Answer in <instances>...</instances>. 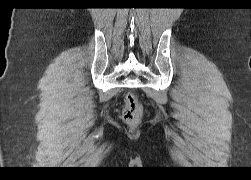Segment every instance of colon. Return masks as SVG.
Segmentation results:
<instances>
[{
    "mask_svg": "<svg viewBox=\"0 0 251 180\" xmlns=\"http://www.w3.org/2000/svg\"><path fill=\"white\" fill-rule=\"evenodd\" d=\"M123 120L132 126L137 125L142 117V105L139 99L132 93L125 97V103L122 111Z\"/></svg>",
    "mask_w": 251,
    "mask_h": 180,
    "instance_id": "colon-1",
    "label": "colon"
}]
</instances>
